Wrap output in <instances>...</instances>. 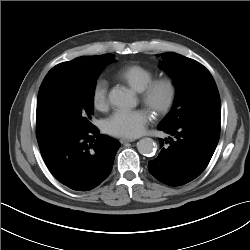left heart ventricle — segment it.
Segmentation results:
<instances>
[{"label": "left heart ventricle", "mask_w": 250, "mask_h": 250, "mask_svg": "<svg viewBox=\"0 0 250 250\" xmlns=\"http://www.w3.org/2000/svg\"><path fill=\"white\" fill-rule=\"evenodd\" d=\"M165 98V92L164 91H160L157 96H156V99H155V102L157 104L161 103Z\"/></svg>", "instance_id": "1"}]
</instances>
